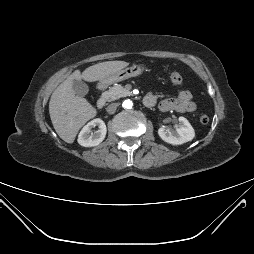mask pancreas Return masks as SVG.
Returning <instances> with one entry per match:
<instances>
[{
	"instance_id": "pancreas-1",
	"label": "pancreas",
	"mask_w": 254,
	"mask_h": 254,
	"mask_svg": "<svg viewBox=\"0 0 254 254\" xmlns=\"http://www.w3.org/2000/svg\"><path fill=\"white\" fill-rule=\"evenodd\" d=\"M131 92L129 88L123 87L121 85H114L110 87L107 91L103 92L102 97L105 98L107 101H114L121 97L130 96Z\"/></svg>"
}]
</instances>
